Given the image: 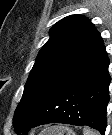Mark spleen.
I'll use <instances>...</instances> for the list:
<instances>
[{
    "mask_svg": "<svg viewBox=\"0 0 112 135\" xmlns=\"http://www.w3.org/2000/svg\"><path fill=\"white\" fill-rule=\"evenodd\" d=\"M84 135H97V133L93 132L90 129H84Z\"/></svg>",
    "mask_w": 112,
    "mask_h": 135,
    "instance_id": "spleen-1",
    "label": "spleen"
}]
</instances>
